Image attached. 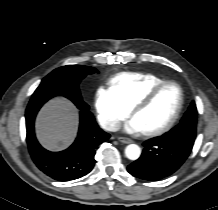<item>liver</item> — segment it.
Instances as JSON below:
<instances>
[{
	"label": "liver",
	"mask_w": 218,
	"mask_h": 210,
	"mask_svg": "<svg viewBox=\"0 0 218 210\" xmlns=\"http://www.w3.org/2000/svg\"><path fill=\"white\" fill-rule=\"evenodd\" d=\"M77 127V110L70 101L62 97L49 101L36 120L37 137L49 150H60L71 144Z\"/></svg>",
	"instance_id": "liver-1"
}]
</instances>
